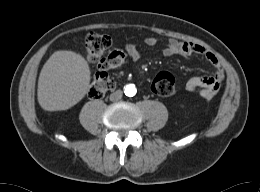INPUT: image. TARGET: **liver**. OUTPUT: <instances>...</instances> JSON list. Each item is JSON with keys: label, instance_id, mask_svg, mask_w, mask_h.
<instances>
[{"label": "liver", "instance_id": "liver-1", "mask_svg": "<svg viewBox=\"0 0 260 192\" xmlns=\"http://www.w3.org/2000/svg\"><path fill=\"white\" fill-rule=\"evenodd\" d=\"M90 79V68L82 55L68 50L56 51L40 72L38 102L47 111L67 110L84 98Z\"/></svg>", "mask_w": 260, "mask_h": 192}]
</instances>
